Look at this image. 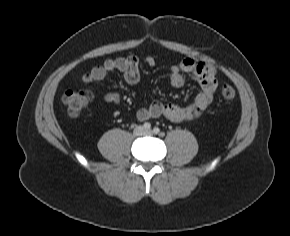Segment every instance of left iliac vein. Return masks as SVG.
I'll list each match as a JSON object with an SVG mask.
<instances>
[{
    "label": "left iliac vein",
    "mask_w": 290,
    "mask_h": 236,
    "mask_svg": "<svg viewBox=\"0 0 290 236\" xmlns=\"http://www.w3.org/2000/svg\"><path fill=\"white\" fill-rule=\"evenodd\" d=\"M146 134L147 135H151L152 134V131L151 130H148V131H146Z\"/></svg>",
    "instance_id": "4c4485c4"
}]
</instances>
